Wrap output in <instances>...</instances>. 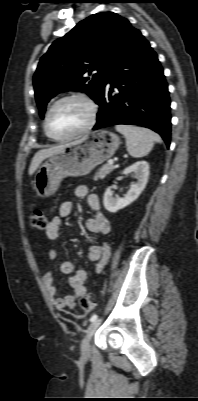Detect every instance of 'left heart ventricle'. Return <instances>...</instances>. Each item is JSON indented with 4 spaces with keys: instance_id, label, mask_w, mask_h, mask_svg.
<instances>
[{
    "instance_id": "b2bd125f",
    "label": "left heart ventricle",
    "mask_w": 198,
    "mask_h": 401,
    "mask_svg": "<svg viewBox=\"0 0 198 401\" xmlns=\"http://www.w3.org/2000/svg\"><path fill=\"white\" fill-rule=\"evenodd\" d=\"M89 108L79 100H68L56 106L50 116V132L65 137L82 129L88 122Z\"/></svg>"
}]
</instances>
